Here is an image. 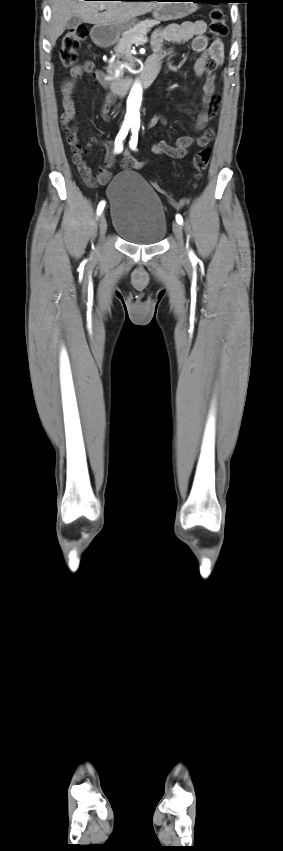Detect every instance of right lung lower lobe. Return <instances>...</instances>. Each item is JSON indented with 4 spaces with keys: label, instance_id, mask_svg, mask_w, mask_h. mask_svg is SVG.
<instances>
[{
    "label": "right lung lower lobe",
    "instance_id": "obj_1",
    "mask_svg": "<svg viewBox=\"0 0 283 851\" xmlns=\"http://www.w3.org/2000/svg\"><path fill=\"white\" fill-rule=\"evenodd\" d=\"M123 1H158V0H123Z\"/></svg>",
    "mask_w": 283,
    "mask_h": 851
}]
</instances>
